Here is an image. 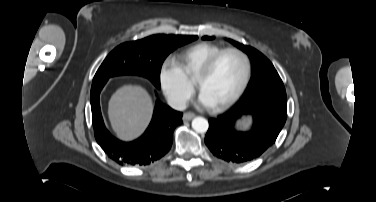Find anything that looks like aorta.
Segmentation results:
<instances>
[{
  "mask_svg": "<svg viewBox=\"0 0 376 202\" xmlns=\"http://www.w3.org/2000/svg\"><path fill=\"white\" fill-rule=\"evenodd\" d=\"M208 121L203 117H196L192 120V128L197 133H205L208 130Z\"/></svg>",
  "mask_w": 376,
  "mask_h": 202,
  "instance_id": "aorta-1",
  "label": "aorta"
}]
</instances>
